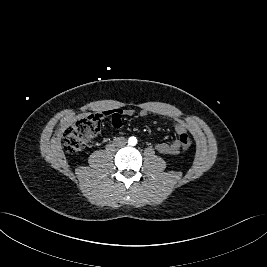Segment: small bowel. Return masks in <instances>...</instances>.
I'll list each match as a JSON object with an SVG mask.
<instances>
[{
  "label": "small bowel",
  "instance_id": "1",
  "mask_svg": "<svg viewBox=\"0 0 267 267\" xmlns=\"http://www.w3.org/2000/svg\"><path fill=\"white\" fill-rule=\"evenodd\" d=\"M135 111L132 109L126 110H111L107 112H103L102 115H109L112 118V123L114 128L121 129L123 127V123L121 120L122 115L125 116H132L134 115ZM150 114V111L147 109H142L139 111L140 117H146ZM175 132L180 136L187 132L186 125L179 121L174 126ZM156 149L158 152L165 154V155H175L178 154L181 149V142L179 139L173 140L170 143L160 142L156 144Z\"/></svg>",
  "mask_w": 267,
  "mask_h": 267
}]
</instances>
